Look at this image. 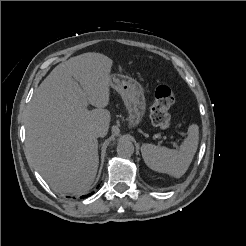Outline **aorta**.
<instances>
[{
    "instance_id": "1",
    "label": "aorta",
    "mask_w": 246,
    "mask_h": 246,
    "mask_svg": "<svg viewBox=\"0 0 246 246\" xmlns=\"http://www.w3.org/2000/svg\"><path fill=\"white\" fill-rule=\"evenodd\" d=\"M117 153L124 158L131 157L134 153L133 143L126 137H121L118 141Z\"/></svg>"
}]
</instances>
